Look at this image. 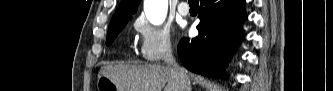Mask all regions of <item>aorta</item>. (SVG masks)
<instances>
[{"instance_id": "1", "label": "aorta", "mask_w": 333, "mask_h": 91, "mask_svg": "<svg viewBox=\"0 0 333 91\" xmlns=\"http://www.w3.org/2000/svg\"><path fill=\"white\" fill-rule=\"evenodd\" d=\"M167 9L168 0H145L146 17L154 25H159L165 20Z\"/></svg>"}]
</instances>
